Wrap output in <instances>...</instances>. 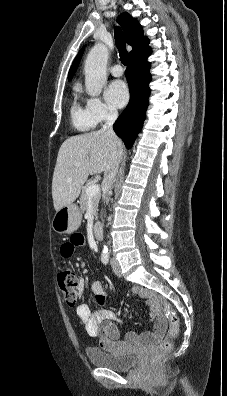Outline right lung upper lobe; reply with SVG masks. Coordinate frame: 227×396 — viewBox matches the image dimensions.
<instances>
[{"label": "right lung upper lobe", "instance_id": "1", "mask_svg": "<svg viewBox=\"0 0 227 396\" xmlns=\"http://www.w3.org/2000/svg\"><path fill=\"white\" fill-rule=\"evenodd\" d=\"M117 21L120 23V25L122 26L125 32L127 43L133 47L132 51L129 53L130 57H132L136 52H138L139 50H141L142 48H144L149 44L148 38L143 36L142 26L129 13L123 12L121 15L118 16ZM82 54H83V48L76 56L69 70V80L74 75L79 65Z\"/></svg>", "mask_w": 227, "mask_h": 396}]
</instances>
